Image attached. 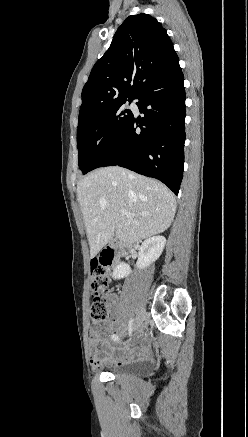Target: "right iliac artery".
Wrapping results in <instances>:
<instances>
[{"instance_id": "right-iliac-artery-1", "label": "right iliac artery", "mask_w": 248, "mask_h": 437, "mask_svg": "<svg viewBox=\"0 0 248 437\" xmlns=\"http://www.w3.org/2000/svg\"><path fill=\"white\" fill-rule=\"evenodd\" d=\"M133 321H134V319L132 318V319H130V321H129V324H128V328H129V332H130V334H131V331H132V325H133ZM112 339L114 340V341H118L119 340V338H118V336L117 335H112Z\"/></svg>"}]
</instances>
